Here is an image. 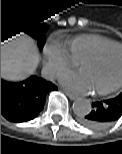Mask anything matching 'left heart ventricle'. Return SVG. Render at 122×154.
<instances>
[{
  "mask_svg": "<svg viewBox=\"0 0 122 154\" xmlns=\"http://www.w3.org/2000/svg\"><path fill=\"white\" fill-rule=\"evenodd\" d=\"M81 72L91 91L114 84L122 76V50L114 49L99 59L85 62Z\"/></svg>",
  "mask_w": 122,
  "mask_h": 154,
  "instance_id": "1",
  "label": "left heart ventricle"
}]
</instances>
